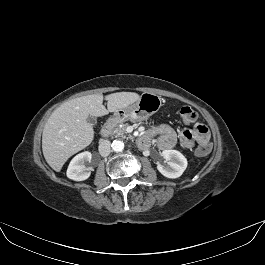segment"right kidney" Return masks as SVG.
<instances>
[{"label": "right kidney", "instance_id": "ca27d5eb", "mask_svg": "<svg viewBox=\"0 0 265 265\" xmlns=\"http://www.w3.org/2000/svg\"><path fill=\"white\" fill-rule=\"evenodd\" d=\"M92 154L88 151L79 153L70 162L67 177L75 181H83L90 177L91 170L86 166L91 161Z\"/></svg>", "mask_w": 265, "mask_h": 265}]
</instances>
